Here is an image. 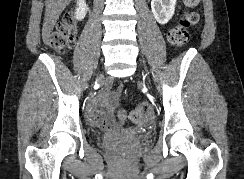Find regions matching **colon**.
Returning a JSON list of instances; mask_svg holds the SVG:
<instances>
[{
    "label": "colon",
    "mask_w": 244,
    "mask_h": 179,
    "mask_svg": "<svg viewBox=\"0 0 244 179\" xmlns=\"http://www.w3.org/2000/svg\"><path fill=\"white\" fill-rule=\"evenodd\" d=\"M187 3L186 10L183 12L179 22L169 31V38L171 43L176 47H183L187 44L192 29L197 21V13L193 11L197 7V0H183ZM75 26L73 24H58L51 36V46L55 50L69 49L74 42ZM149 106L148 102H139L137 108L129 111L131 120H143L144 110ZM114 116H125V108L121 107L120 111H114ZM123 123L127 122L126 118L122 119Z\"/></svg>",
    "instance_id": "colon-1"
}]
</instances>
